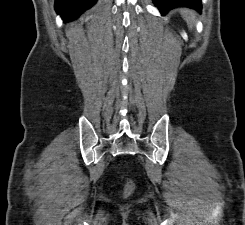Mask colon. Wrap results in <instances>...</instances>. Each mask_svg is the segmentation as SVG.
<instances>
[{
	"instance_id": "5ec220e1",
	"label": "colon",
	"mask_w": 245,
	"mask_h": 225,
	"mask_svg": "<svg viewBox=\"0 0 245 225\" xmlns=\"http://www.w3.org/2000/svg\"><path fill=\"white\" fill-rule=\"evenodd\" d=\"M133 191H134V186L131 183H129L125 189V197L131 196L133 194Z\"/></svg>"
}]
</instances>
